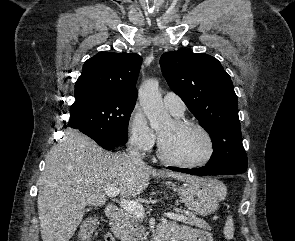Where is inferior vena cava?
Returning a JSON list of instances; mask_svg holds the SVG:
<instances>
[{
	"instance_id": "obj_1",
	"label": "inferior vena cava",
	"mask_w": 295,
	"mask_h": 241,
	"mask_svg": "<svg viewBox=\"0 0 295 241\" xmlns=\"http://www.w3.org/2000/svg\"><path fill=\"white\" fill-rule=\"evenodd\" d=\"M123 156L128 158L135 165L143 164V160L139 152V149L136 147L129 146L126 149V152H124Z\"/></svg>"
}]
</instances>
